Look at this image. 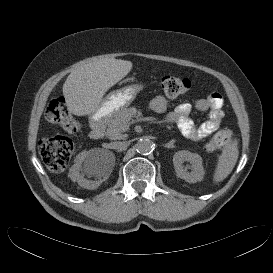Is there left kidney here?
I'll return each mask as SVG.
<instances>
[{"label": "left kidney", "mask_w": 273, "mask_h": 273, "mask_svg": "<svg viewBox=\"0 0 273 273\" xmlns=\"http://www.w3.org/2000/svg\"><path fill=\"white\" fill-rule=\"evenodd\" d=\"M189 162L191 164V171L188 172L183 163ZM173 165L176 175L189 183H196L202 181L204 177V168L202 165V158L197 153H192L187 150H181L173 155Z\"/></svg>", "instance_id": "1"}]
</instances>
